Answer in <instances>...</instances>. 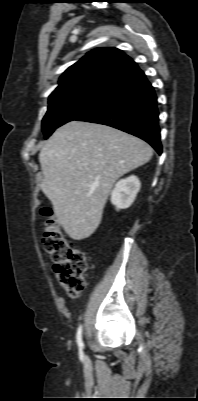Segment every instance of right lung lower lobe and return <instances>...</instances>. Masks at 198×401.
<instances>
[{"label":"right lung lower lobe","mask_w":198,"mask_h":401,"mask_svg":"<svg viewBox=\"0 0 198 401\" xmlns=\"http://www.w3.org/2000/svg\"><path fill=\"white\" fill-rule=\"evenodd\" d=\"M158 114L154 89L139 69L112 86L97 106L76 120L120 129L145 140L161 154Z\"/></svg>","instance_id":"obj_1"}]
</instances>
